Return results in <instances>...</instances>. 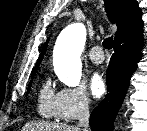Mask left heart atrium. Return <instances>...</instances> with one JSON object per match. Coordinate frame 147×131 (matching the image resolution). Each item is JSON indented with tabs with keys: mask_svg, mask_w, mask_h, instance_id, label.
Instances as JSON below:
<instances>
[{
	"mask_svg": "<svg viewBox=\"0 0 147 131\" xmlns=\"http://www.w3.org/2000/svg\"><path fill=\"white\" fill-rule=\"evenodd\" d=\"M89 85H90L91 93L95 97L101 96L104 93V91H105V83H104V80L97 73H95V74H93L91 76Z\"/></svg>",
	"mask_w": 147,
	"mask_h": 131,
	"instance_id": "1",
	"label": "left heart atrium"
}]
</instances>
